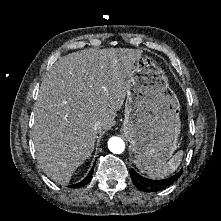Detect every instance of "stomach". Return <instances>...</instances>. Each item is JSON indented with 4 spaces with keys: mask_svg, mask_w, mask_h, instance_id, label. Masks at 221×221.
<instances>
[{
    "mask_svg": "<svg viewBox=\"0 0 221 221\" xmlns=\"http://www.w3.org/2000/svg\"><path fill=\"white\" fill-rule=\"evenodd\" d=\"M180 103L160 64L138 57L128 79L122 132L130 142L137 168L162 166L178 147Z\"/></svg>",
    "mask_w": 221,
    "mask_h": 221,
    "instance_id": "0dacf381",
    "label": "stomach"
}]
</instances>
